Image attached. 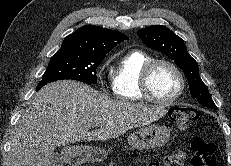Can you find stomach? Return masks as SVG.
<instances>
[{"instance_id": "stomach-1", "label": "stomach", "mask_w": 231, "mask_h": 166, "mask_svg": "<svg viewBox=\"0 0 231 166\" xmlns=\"http://www.w3.org/2000/svg\"><path fill=\"white\" fill-rule=\"evenodd\" d=\"M170 129L163 125H150L136 130L128 137V143L135 149L146 150L163 146L169 141ZM63 160L76 166L85 162H100L106 151L94 146H71L62 151Z\"/></svg>"}]
</instances>
